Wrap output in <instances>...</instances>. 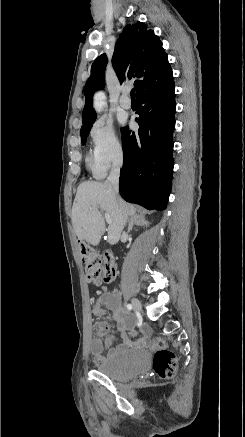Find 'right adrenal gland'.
Returning a JSON list of instances; mask_svg holds the SVG:
<instances>
[{
    "mask_svg": "<svg viewBox=\"0 0 245 437\" xmlns=\"http://www.w3.org/2000/svg\"><path fill=\"white\" fill-rule=\"evenodd\" d=\"M149 223L145 220L144 216L141 215H134L131 216L129 219V224H128V233L132 230L134 225L137 226H144V225H148Z\"/></svg>",
    "mask_w": 245,
    "mask_h": 437,
    "instance_id": "2a0ac1e0",
    "label": "right adrenal gland"
}]
</instances>
